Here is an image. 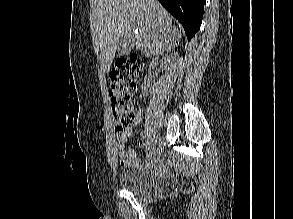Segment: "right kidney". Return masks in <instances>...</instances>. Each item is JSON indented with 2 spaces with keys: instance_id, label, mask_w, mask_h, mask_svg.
<instances>
[{
  "instance_id": "ca27d5eb",
  "label": "right kidney",
  "mask_w": 293,
  "mask_h": 219,
  "mask_svg": "<svg viewBox=\"0 0 293 219\" xmlns=\"http://www.w3.org/2000/svg\"><path fill=\"white\" fill-rule=\"evenodd\" d=\"M170 61V57L169 56H165L163 59H162V66L165 65V67L167 66L168 62ZM152 87V82L151 80L146 76L144 78V81H143V84H142V90L144 93H148L149 90L151 89Z\"/></svg>"
}]
</instances>
